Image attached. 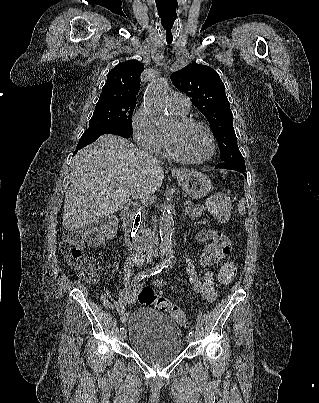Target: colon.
Listing matches in <instances>:
<instances>
[{"instance_id": "5ec220e1", "label": "colon", "mask_w": 319, "mask_h": 403, "mask_svg": "<svg viewBox=\"0 0 319 403\" xmlns=\"http://www.w3.org/2000/svg\"><path fill=\"white\" fill-rule=\"evenodd\" d=\"M210 213L219 221H226L229 214L230 201L225 194H216L207 201ZM116 230V221L106 217L101 222L86 227L80 231L68 232L61 244L62 251L70 265L75 268L77 275L87 282H95L99 278V263L92 257L85 256L84 245L98 247L105 238L112 237ZM219 237V234L216 236ZM235 265L225 264L219 273L221 283H230L236 276ZM138 301L144 307L153 306L155 309L169 314L182 328L189 327V321L184 311L176 304L156 294L153 289L145 287L138 291Z\"/></svg>"}]
</instances>
